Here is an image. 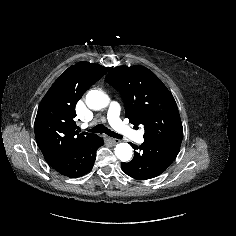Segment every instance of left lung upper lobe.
<instances>
[{"instance_id": "5c2ea615", "label": "left lung upper lobe", "mask_w": 236, "mask_h": 236, "mask_svg": "<svg viewBox=\"0 0 236 236\" xmlns=\"http://www.w3.org/2000/svg\"><path fill=\"white\" fill-rule=\"evenodd\" d=\"M120 91L125 114L135 128L144 126V139L183 137L174 97L162 81L143 66H118L105 78Z\"/></svg>"}]
</instances>
